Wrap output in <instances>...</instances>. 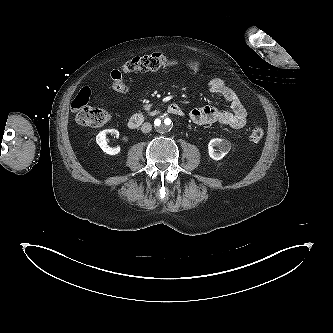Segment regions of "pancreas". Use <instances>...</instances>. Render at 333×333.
Returning <instances> with one entry per match:
<instances>
[{
    "instance_id": "1",
    "label": "pancreas",
    "mask_w": 333,
    "mask_h": 333,
    "mask_svg": "<svg viewBox=\"0 0 333 333\" xmlns=\"http://www.w3.org/2000/svg\"><path fill=\"white\" fill-rule=\"evenodd\" d=\"M151 106H152V105H145V106H144V109H145V110H149V109L151 108Z\"/></svg>"
}]
</instances>
